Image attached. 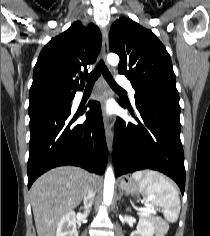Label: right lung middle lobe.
<instances>
[{
  "instance_id": "1",
  "label": "right lung middle lobe",
  "mask_w": 210,
  "mask_h": 236,
  "mask_svg": "<svg viewBox=\"0 0 210 236\" xmlns=\"http://www.w3.org/2000/svg\"><path fill=\"white\" fill-rule=\"evenodd\" d=\"M74 93L56 91L52 89L41 90L30 99L28 112L44 109L55 105H67L73 99Z\"/></svg>"
}]
</instances>
